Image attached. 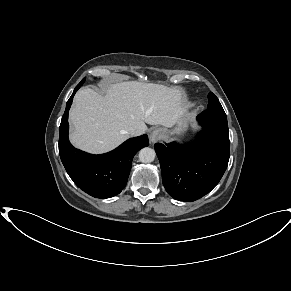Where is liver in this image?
<instances>
[{"label":"liver","instance_id":"6515ba94","mask_svg":"<svg viewBox=\"0 0 291 291\" xmlns=\"http://www.w3.org/2000/svg\"><path fill=\"white\" fill-rule=\"evenodd\" d=\"M187 112L182 91L137 81L112 84L101 96L90 88L77 92L70 110L71 143L90 153L110 151L147 124L173 127Z\"/></svg>","mask_w":291,"mask_h":291}]
</instances>
